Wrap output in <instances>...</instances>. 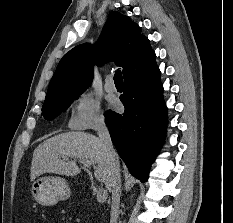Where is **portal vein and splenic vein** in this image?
Masks as SVG:
<instances>
[{
	"label": "portal vein and splenic vein",
	"instance_id": "portal-vein-and-splenic-vein-1",
	"mask_svg": "<svg viewBox=\"0 0 233 223\" xmlns=\"http://www.w3.org/2000/svg\"><path fill=\"white\" fill-rule=\"evenodd\" d=\"M80 163H82L84 167H90V163H88V161H84V159H80ZM107 197H108V193L106 189H99V191H97L96 199L97 201H99V203H104Z\"/></svg>",
	"mask_w": 233,
	"mask_h": 223
}]
</instances>
